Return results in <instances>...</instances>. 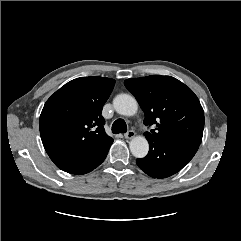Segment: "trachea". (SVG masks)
<instances>
[{"mask_svg":"<svg viewBox=\"0 0 241 241\" xmlns=\"http://www.w3.org/2000/svg\"><path fill=\"white\" fill-rule=\"evenodd\" d=\"M112 132L114 134L117 133H126L127 132V125L123 119H117L113 124H112Z\"/></svg>","mask_w":241,"mask_h":241,"instance_id":"3493384b","label":"trachea"}]
</instances>
